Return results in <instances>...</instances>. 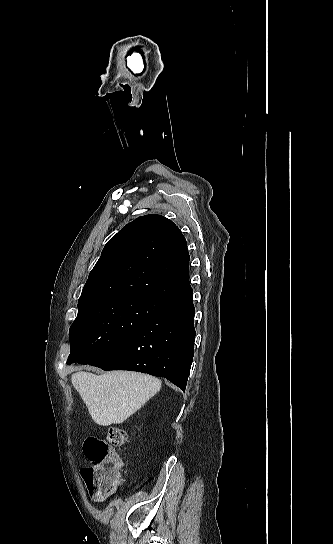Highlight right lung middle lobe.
<instances>
[{"label": "right lung middle lobe", "instance_id": "dd1d6c3e", "mask_svg": "<svg viewBox=\"0 0 333 544\" xmlns=\"http://www.w3.org/2000/svg\"><path fill=\"white\" fill-rule=\"evenodd\" d=\"M167 303L140 294L78 302V315L69 332L71 352L67 364L79 363L132 335Z\"/></svg>", "mask_w": 333, "mask_h": 544}]
</instances>
